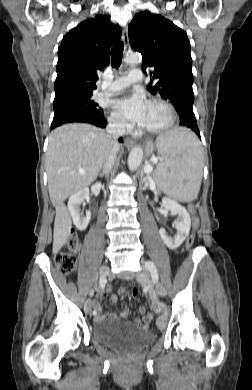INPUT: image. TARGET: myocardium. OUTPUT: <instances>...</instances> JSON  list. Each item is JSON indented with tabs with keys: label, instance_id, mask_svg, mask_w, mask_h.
I'll return each instance as SVG.
<instances>
[{
	"label": "myocardium",
	"instance_id": "1",
	"mask_svg": "<svg viewBox=\"0 0 252 390\" xmlns=\"http://www.w3.org/2000/svg\"><path fill=\"white\" fill-rule=\"evenodd\" d=\"M148 103L149 104H160L163 107H165V109L167 110V112L169 114V119L166 122V124H164L163 126L158 127V128L145 129V128L140 127V132L145 133V134L157 135V134H162V133L170 130L174 126L175 121H176V110H175L174 106L170 102H168L167 100L160 99V98L151 99L148 101Z\"/></svg>",
	"mask_w": 252,
	"mask_h": 390
}]
</instances>
